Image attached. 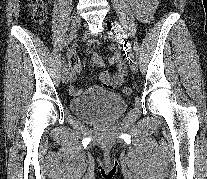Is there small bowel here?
<instances>
[{
  "label": "small bowel",
  "instance_id": "1",
  "mask_svg": "<svg viewBox=\"0 0 207 179\" xmlns=\"http://www.w3.org/2000/svg\"><path fill=\"white\" fill-rule=\"evenodd\" d=\"M129 7L134 14L143 22H149L152 19L153 12L155 11L159 0H127ZM106 50L112 51L113 54L109 58V63L114 67L113 74L107 71L99 73V80L102 82L103 88L106 90H113L121 85L124 77L127 74V67L124 62L123 55L116 51V46L111 44L106 47ZM93 62L98 67H104V60L96 53L92 52ZM80 69V61L76 57L71 58L69 69L71 71L70 80L75 81V74ZM71 91L77 93L79 90L72 87Z\"/></svg>",
  "mask_w": 207,
  "mask_h": 179
}]
</instances>
